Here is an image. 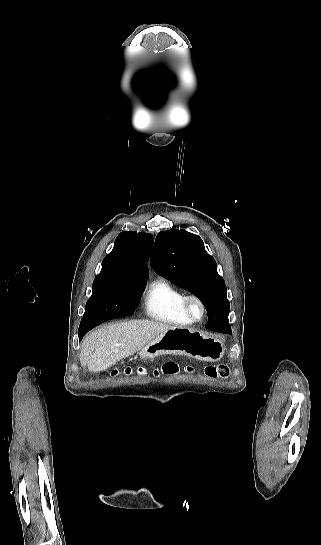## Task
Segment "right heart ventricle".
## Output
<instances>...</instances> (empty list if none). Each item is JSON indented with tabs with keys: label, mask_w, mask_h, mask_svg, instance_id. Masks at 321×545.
I'll list each match as a JSON object with an SVG mask.
<instances>
[{
	"label": "right heart ventricle",
	"mask_w": 321,
	"mask_h": 545,
	"mask_svg": "<svg viewBox=\"0 0 321 545\" xmlns=\"http://www.w3.org/2000/svg\"><path fill=\"white\" fill-rule=\"evenodd\" d=\"M186 294L162 276H154L144 298L147 317L165 325L185 328L192 325L182 309Z\"/></svg>",
	"instance_id": "e07e8e85"
}]
</instances>
